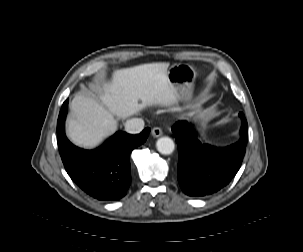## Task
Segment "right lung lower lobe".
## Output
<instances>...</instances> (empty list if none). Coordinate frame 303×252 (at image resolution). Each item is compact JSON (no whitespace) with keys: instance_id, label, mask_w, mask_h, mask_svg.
I'll return each instance as SVG.
<instances>
[{"instance_id":"98d812e1","label":"right lung lower lobe","mask_w":303,"mask_h":252,"mask_svg":"<svg viewBox=\"0 0 303 252\" xmlns=\"http://www.w3.org/2000/svg\"><path fill=\"white\" fill-rule=\"evenodd\" d=\"M67 111L68 100L63 103L57 122L58 148L68 175L98 200L122 198L131 184L129 154L146 141L150 128L137 135L120 131L98 149L84 150L74 146L65 135Z\"/></svg>"}]
</instances>
